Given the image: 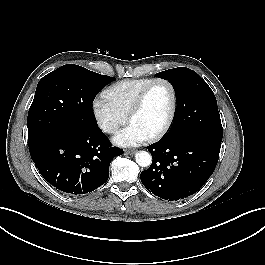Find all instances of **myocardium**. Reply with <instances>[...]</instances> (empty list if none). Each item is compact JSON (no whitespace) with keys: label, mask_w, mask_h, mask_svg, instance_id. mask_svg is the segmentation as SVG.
Segmentation results:
<instances>
[{"label":"myocardium","mask_w":265,"mask_h":265,"mask_svg":"<svg viewBox=\"0 0 265 265\" xmlns=\"http://www.w3.org/2000/svg\"><path fill=\"white\" fill-rule=\"evenodd\" d=\"M165 84L171 94V108H170V112L169 115L167 117V120L165 122V124L162 126V128L157 131L155 134L151 135L149 137L150 141H157L161 138H163L170 130L175 116H176V112H177V93L175 90L174 85L167 79L165 78H154L152 79L138 94V96L136 97L135 101L133 102L129 113L127 115V121L130 122L131 119L140 111V109L142 108L144 101L149 93V91L151 90V88L156 85V84Z\"/></svg>","instance_id":"myocardium-1"}]
</instances>
